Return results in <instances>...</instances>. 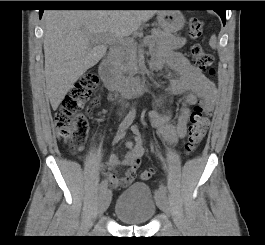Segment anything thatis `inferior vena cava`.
<instances>
[{"label":"inferior vena cava","mask_w":265,"mask_h":245,"mask_svg":"<svg viewBox=\"0 0 265 245\" xmlns=\"http://www.w3.org/2000/svg\"><path fill=\"white\" fill-rule=\"evenodd\" d=\"M110 54L115 62V65L117 67L118 70L121 69V64L123 62L124 59V50L123 48L118 45V44H114L112 46V48L110 49Z\"/></svg>","instance_id":"602c4592"}]
</instances>
